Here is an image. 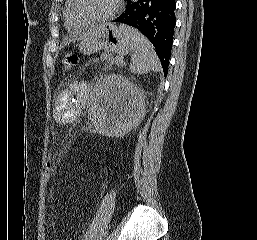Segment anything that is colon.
<instances>
[{
    "label": "colon",
    "instance_id": "obj_1",
    "mask_svg": "<svg viewBox=\"0 0 257 240\" xmlns=\"http://www.w3.org/2000/svg\"><path fill=\"white\" fill-rule=\"evenodd\" d=\"M78 63V56L75 53L67 54L63 59V67L65 70L69 71L73 69ZM55 172V156L49 151L46 158V164L44 169V177L46 183H49Z\"/></svg>",
    "mask_w": 257,
    "mask_h": 240
}]
</instances>
